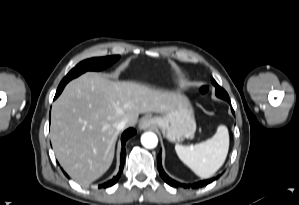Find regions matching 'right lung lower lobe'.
<instances>
[{
    "label": "right lung lower lobe",
    "instance_id": "98d812e1",
    "mask_svg": "<svg viewBox=\"0 0 299 205\" xmlns=\"http://www.w3.org/2000/svg\"><path fill=\"white\" fill-rule=\"evenodd\" d=\"M64 87L60 88V89H57V92H56V95H55V98L58 97L60 95V93L62 92ZM136 133L135 129L133 128H129L127 129L123 134H122V137H121V142H122V154H121V165H120V168H119V172L118 174L113 177V179L105 182L104 184L100 185L99 187H102V188H107V187H110L112 185H114L119 177L121 176V173L123 171V166H124V160H123V155L125 154V143L127 141V139L129 137H131L132 135H134Z\"/></svg>",
    "mask_w": 299,
    "mask_h": 205
}]
</instances>
